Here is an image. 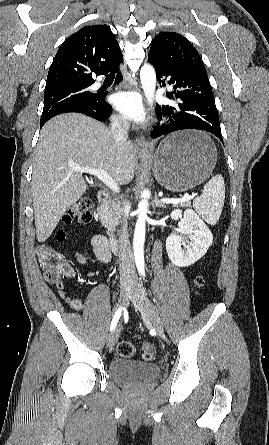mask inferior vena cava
<instances>
[{"label":"inferior vena cava","mask_w":269,"mask_h":445,"mask_svg":"<svg viewBox=\"0 0 269 445\" xmlns=\"http://www.w3.org/2000/svg\"><path fill=\"white\" fill-rule=\"evenodd\" d=\"M128 130L129 122L126 118L120 116L112 120L111 133L114 136L117 144H121L128 140ZM119 264L121 280H137L134 257L131 250L125 221L122 229L119 232Z\"/></svg>","instance_id":"602c4592"}]
</instances>
